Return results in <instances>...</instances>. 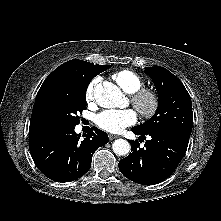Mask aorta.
<instances>
[{
  "label": "aorta",
  "mask_w": 221,
  "mask_h": 221,
  "mask_svg": "<svg viewBox=\"0 0 221 221\" xmlns=\"http://www.w3.org/2000/svg\"><path fill=\"white\" fill-rule=\"evenodd\" d=\"M94 98L97 104L104 108H114L120 105L123 95L120 89L109 82L96 86L94 90ZM112 149L117 155H127L131 146L125 139H117L112 144Z\"/></svg>",
  "instance_id": "762f6f07"
}]
</instances>
